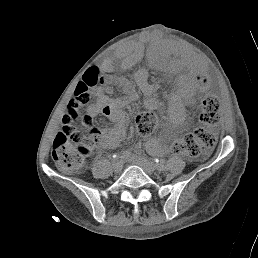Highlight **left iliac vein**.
Returning a JSON list of instances; mask_svg holds the SVG:
<instances>
[{
  "label": "left iliac vein",
  "instance_id": "left-iliac-vein-1",
  "mask_svg": "<svg viewBox=\"0 0 258 258\" xmlns=\"http://www.w3.org/2000/svg\"><path fill=\"white\" fill-rule=\"evenodd\" d=\"M135 164L140 166L147 174L155 171V165L145 158H137Z\"/></svg>",
  "mask_w": 258,
  "mask_h": 258
}]
</instances>
